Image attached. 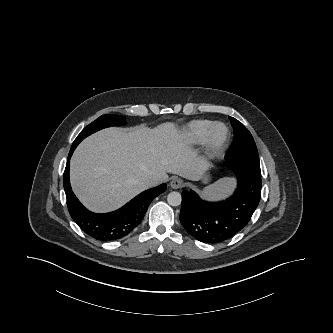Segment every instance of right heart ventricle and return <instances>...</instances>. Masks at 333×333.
Segmentation results:
<instances>
[{"mask_svg":"<svg viewBox=\"0 0 333 333\" xmlns=\"http://www.w3.org/2000/svg\"><path fill=\"white\" fill-rule=\"evenodd\" d=\"M212 121L209 120H193L184 127L185 137L192 143H202L206 140Z\"/></svg>","mask_w":333,"mask_h":333,"instance_id":"e07e8e85","label":"right heart ventricle"}]
</instances>
